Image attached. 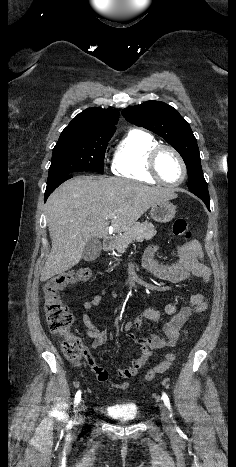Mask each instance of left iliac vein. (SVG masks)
<instances>
[{
    "instance_id": "left-iliac-vein-1",
    "label": "left iliac vein",
    "mask_w": 236,
    "mask_h": 467,
    "mask_svg": "<svg viewBox=\"0 0 236 467\" xmlns=\"http://www.w3.org/2000/svg\"><path fill=\"white\" fill-rule=\"evenodd\" d=\"M159 407H160V414H161L162 422L166 426L169 427L170 426V417H169L168 410H167L166 406L163 403H160Z\"/></svg>"
}]
</instances>
